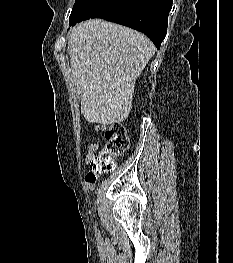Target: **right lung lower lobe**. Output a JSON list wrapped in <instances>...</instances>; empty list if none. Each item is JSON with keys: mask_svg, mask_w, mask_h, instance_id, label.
Wrapping results in <instances>:
<instances>
[{"mask_svg": "<svg viewBox=\"0 0 233 263\" xmlns=\"http://www.w3.org/2000/svg\"><path fill=\"white\" fill-rule=\"evenodd\" d=\"M172 3L173 0H123L113 13L103 19L146 34L159 49L167 33Z\"/></svg>", "mask_w": 233, "mask_h": 263, "instance_id": "98d812e1", "label": "right lung lower lobe"}]
</instances>
